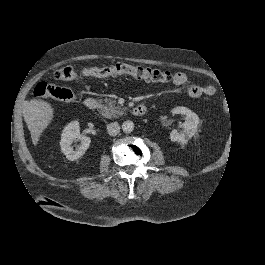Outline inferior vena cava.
Masks as SVG:
<instances>
[{"label": "inferior vena cava", "instance_id": "602c4592", "mask_svg": "<svg viewBox=\"0 0 265 265\" xmlns=\"http://www.w3.org/2000/svg\"><path fill=\"white\" fill-rule=\"evenodd\" d=\"M107 130L110 136H116L120 131V126L117 122H113L108 124Z\"/></svg>", "mask_w": 265, "mask_h": 265}]
</instances>
